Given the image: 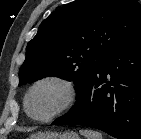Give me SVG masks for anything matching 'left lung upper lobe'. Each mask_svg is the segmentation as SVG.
<instances>
[{
  "label": "left lung upper lobe",
  "instance_id": "1",
  "mask_svg": "<svg viewBox=\"0 0 141 139\" xmlns=\"http://www.w3.org/2000/svg\"><path fill=\"white\" fill-rule=\"evenodd\" d=\"M141 28L137 0H77L51 13L27 44L19 86L58 76L77 99L105 56Z\"/></svg>",
  "mask_w": 141,
  "mask_h": 139
}]
</instances>
